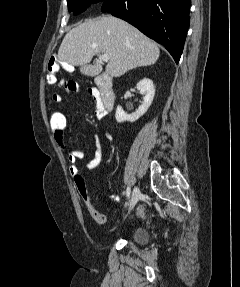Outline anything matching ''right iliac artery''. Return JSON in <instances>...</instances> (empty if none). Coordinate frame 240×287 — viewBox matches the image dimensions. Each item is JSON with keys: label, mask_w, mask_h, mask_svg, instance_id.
I'll return each instance as SVG.
<instances>
[{"label": "right iliac artery", "mask_w": 240, "mask_h": 287, "mask_svg": "<svg viewBox=\"0 0 240 287\" xmlns=\"http://www.w3.org/2000/svg\"><path fill=\"white\" fill-rule=\"evenodd\" d=\"M130 193H131V189H130V187H127V189H126V196H127V198L130 197Z\"/></svg>", "instance_id": "82829eb1"}]
</instances>
